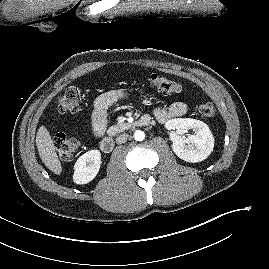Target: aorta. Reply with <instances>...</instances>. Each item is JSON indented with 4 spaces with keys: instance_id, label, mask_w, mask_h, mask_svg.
Listing matches in <instances>:
<instances>
[{
    "instance_id": "obj_1",
    "label": "aorta",
    "mask_w": 269,
    "mask_h": 269,
    "mask_svg": "<svg viewBox=\"0 0 269 269\" xmlns=\"http://www.w3.org/2000/svg\"><path fill=\"white\" fill-rule=\"evenodd\" d=\"M134 138L136 141H143L145 139V133L141 130H137L134 133Z\"/></svg>"
}]
</instances>
